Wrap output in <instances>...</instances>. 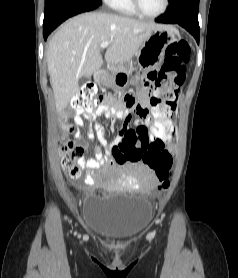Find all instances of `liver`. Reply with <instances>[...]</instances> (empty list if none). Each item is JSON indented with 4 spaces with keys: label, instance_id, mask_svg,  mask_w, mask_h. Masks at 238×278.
<instances>
[{
    "label": "liver",
    "instance_id": "6515ba94",
    "mask_svg": "<svg viewBox=\"0 0 238 278\" xmlns=\"http://www.w3.org/2000/svg\"><path fill=\"white\" fill-rule=\"evenodd\" d=\"M161 25L109 13L90 12L66 21L47 50V66L58 112L79 92V79L103 65L100 44L110 41L105 59L123 64L137 55L146 35Z\"/></svg>",
    "mask_w": 238,
    "mask_h": 278
}]
</instances>
